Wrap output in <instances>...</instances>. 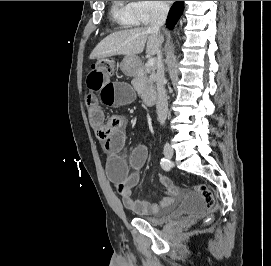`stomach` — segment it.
Wrapping results in <instances>:
<instances>
[{
  "instance_id": "obj_1",
  "label": "stomach",
  "mask_w": 271,
  "mask_h": 266,
  "mask_svg": "<svg viewBox=\"0 0 271 266\" xmlns=\"http://www.w3.org/2000/svg\"><path fill=\"white\" fill-rule=\"evenodd\" d=\"M139 64V59L136 56H126L121 62V69L125 72L133 71Z\"/></svg>"
}]
</instances>
